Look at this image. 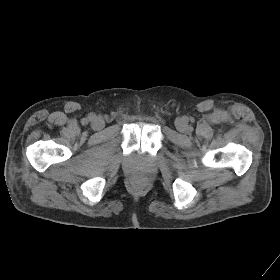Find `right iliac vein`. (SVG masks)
Here are the masks:
<instances>
[{"mask_svg": "<svg viewBox=\"0 0 280 280\" xmlns=\"http://www.w3.org/2000/svg\"><path fill=\"white\" fill-rule=\"evenodd\" d=\"M91 125H92L93 129L100 130V129H102L105 126V122H104L103 118L96 117L92 121Z\"/></svg>", "mask_w": 280, "mask_h": 280, "instance_id": "1", "label": "right iliac vein"}]
</instances>
